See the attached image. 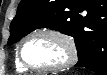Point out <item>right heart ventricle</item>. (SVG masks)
Wrapping results in <instances>:
<instances>
[{
  "instance_id": "e07e8e85",
  "label": "right heart ventricle",
  "mask_w": 107,
  "mask_h": 75,
  "mask_svg": "<svg viewBox=\"0 0 107 75\" xmlns=\"http://www.w3.org/2000/svg\"><path fill=\"white\" fill-rule=\"evenodd\" d=\"M15 65H16L17 70L20 72L28 70L19 62L18 57H16V59H15Z\"/></svg>"
}]
</instances>
